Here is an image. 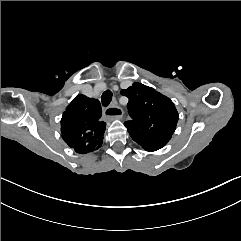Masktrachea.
Here are the masks:
<instances>
[{
	"instance_id": "3493384b",
	"label": "trachea",
	"mask_w": 241,
	"mask_h": 241,
	"mask_svg": "<svg viewBox=\"0 0 241 241\" xmlns=\"http://www.w3.org/2000/svg\"><path fill=\"white\" fill-rule=\"evenodd\" d=\"M112 97H113V93L111 92L110 89H107L106 91H104L101 96L102 105L108 106L112 101Z\"/></svg>"
}]
</instances>
